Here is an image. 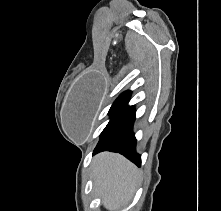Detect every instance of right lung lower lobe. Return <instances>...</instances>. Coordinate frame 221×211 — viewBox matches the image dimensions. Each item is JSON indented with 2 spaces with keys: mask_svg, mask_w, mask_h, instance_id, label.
<instances>
[{
  "mask_svg": "<svg viewBox=\"0 0 221 211\" xmlns=\"http://www.w3.org/2000/svg\"><path fill=\"white\" fill-rule=\"evenodd\" d=\"M134 121L133 106H126L117 120L101 134L93 154L107 150L118 152L140 166L141 156L136 153V139L132 130Z\"/></svg>",
  "mask_w": 221,
  "mask_h": 211,
  "instance_id": "98d812e1",
  "label": "right lung lower lobe"
}]
</instances>
